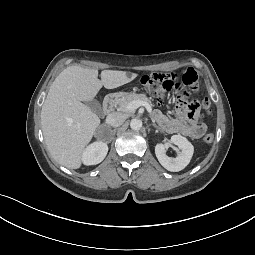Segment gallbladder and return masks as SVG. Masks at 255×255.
<instances>
[{"label": "gallbladder", "mask_w": 255, "mask_h": 255, "mask_svg": "<svg viewBox=\"0 0 255 255\" xmlns=\"http://www.w3.org/2000/svg\"><path fill=\"white\" fill-rule=\"evenodd\" d=\"M93 112H95L96 114L98 115H101L102 114V108H101V105L100 103L93 99V100H90V101H86L84 102Z\"/></svg>", "instance_id": "bac80fb5"}]
</instances>
